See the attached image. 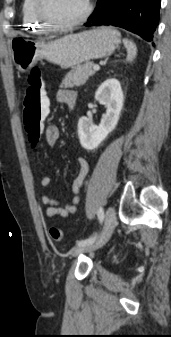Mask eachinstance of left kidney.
Here are the masks:
<instances>
[{"label": "left kidney", "instance_id": "obj_1", "mask_svg": "<svg viewBox=\"0 0 171 337\" xmlns=\"http://www.w3.org/2000/svg\"><path fill=\"white\" fill-rule=\"evenodd\" d=\"M95 99L106 107V114L99 126L87 117H81L78 122L80 144L86 150L97 148L112 132L119 120L124 103V95L120 82L115 79L104 81L95 93Z\"/></svg>", "mask_w": 171, "mask_h": 337}]
</instances>
